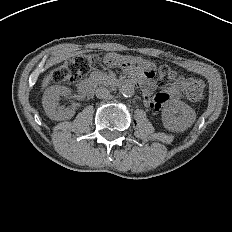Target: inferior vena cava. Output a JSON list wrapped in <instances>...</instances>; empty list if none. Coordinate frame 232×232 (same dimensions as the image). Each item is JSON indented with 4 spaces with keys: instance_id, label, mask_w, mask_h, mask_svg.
<instances>
[{
    "instance_id": "inferior-vena-cava-1",
    "label": "inferior vena cava",
    "mask_w": 232,
    "mask_h": 232,
    "mask_svg": "<svg viewBox=\"0 0 232 232\" xmlns=\"http://www.w3.org/2000/svg\"><path fill=\"white\" fill-rule=\"evenodd\" d=\"M95 94L97 98L104 99L110 95V91L106 87L100 86L96 88Z\"/></svg>"
}]
</instances>
